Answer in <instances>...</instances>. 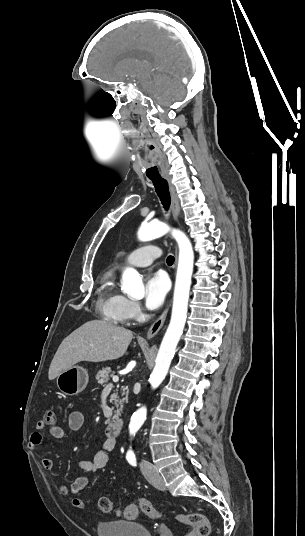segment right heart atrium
Wrapping results in <instances>:
<instances>
[{
  "label": "right heart atrium",
  "instance_id": "right-heart-atrium-1",
  "mask_svg": "<svg viewBox=\"0 0 305 536\" xmlns=\"http://www.w3.org/2000/svg\"><path fill=\"white\" fill-rule=\"evenodd\" d=\"M139 305L136 301L133 300H126L124 304V312L127 316V318H135L139 314Z\"/></svg>",
  "mask_w": 305,
  "mask_h": 536
}]
</instances>
